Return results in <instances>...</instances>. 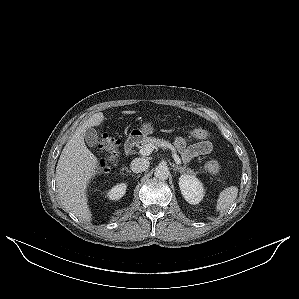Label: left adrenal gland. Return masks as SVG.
I'll list each match as a JSON object with an SVG mask.
<instances>
[{"label": "left adrenal gland", "mask_w": 299, "mask_h": 299, "mask_svg": "<svg viewBox=\"0 0 299 299\" xmlns=\"http://www.w3.org/2000/svg\"><path fill=\"white\" fill-rule=\"evenodd\" d=\"M174 171H178V172L182 173V172H184V168L176 165V166H174Z\"/></svg>", "instance_id": "left-adrenal-gland-1"}]
</instances>
